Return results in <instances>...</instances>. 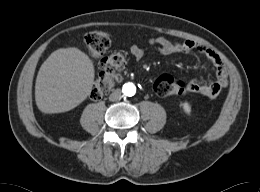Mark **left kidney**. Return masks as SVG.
Returning a JSON list of instances; mask_svg holds the SVG:
<instances>
[{
    "mask_svg": "<svg viewBox=\"0 0 260 192\" xmlns=\"http://www.w3.org/2000/svg\"><path fill=\"white\" fill-rule=\"evenodd\" d=\"M182 108L186 114H190L191 107H190L189 103H187V102L182 103Z\"/></svg>",
    "mask_w": 260,
    "mask_h": 192,
    "instance_id": "5707ae66",
    "label": "left kidney"
}]
</instances>
